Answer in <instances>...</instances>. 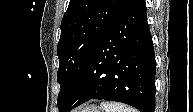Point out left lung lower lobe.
Segmentation results:
<instances>
[{
  "instance_id": "obj_1",
  "label": "left lung lower lobe",
  "mask_w": 193,
  "mask_h": 112,
  "mask_svg": "<svg viewBox=\"0 0 193 112\" xmlns=\"http://www.w3.org/2000/svg\"><path fill=\"white\" fill-rule=\"evenodd\" d=\"M155 53L144 0H132L94 47L61 112L92 99L155 110Z\"/></svg>"
}]
</instances>
